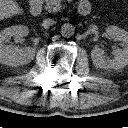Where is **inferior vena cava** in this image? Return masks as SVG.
Wrapping results in <instances>:
<instances>
[{"label": "inferior vena cava", "instance_id": "inferior-vena-cava-1", "mask_svg": "<svg viewBox=\"0 0 128 128\" xmlns=\"http://www.w3.org/2000/svg\"><path fill=\"white\" fill-rule=\"evenodd\" d=\"M55 21L53 19L47 18L43 20L42 26L44 28H49L50 26L54 25Z\"/></svg>", "mask_w": 128, "mask_h": 128}]
</instances>
